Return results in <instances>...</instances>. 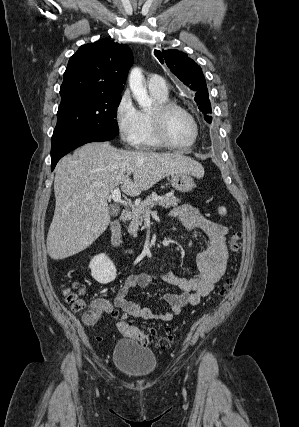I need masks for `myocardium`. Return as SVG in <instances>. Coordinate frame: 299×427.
Segmentation results:
<instances>
[{"instance_id":"myocardium-1","label":"myocardium","mask_w":299,"mask_h":427,"mask_svg":"<svg viewBox=\"0 0 299 427\" xmlns=\"http://www.w3.org/2000/svg\"><path fill=\"white\" fill-rule=\"evenodd\" d=\"M172 110H179L185 113L193 123L194 135L192 140L187 144L174 143L169 139V137L166 134L165 118L167 114ZM150 119H151L154 136L156 137L158 142L165 147L172 148V149H186L193 146L199 138L200 128H199V123L196 117L190 110H188L186 107L178 103H175L172 101H166L163 103L156 104L153 110L150 112Z\"/></svg>"}]
</instances>
